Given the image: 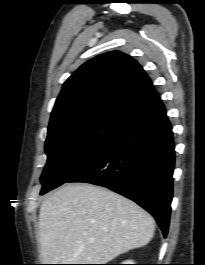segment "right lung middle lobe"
<instances>
[{
    "label": "right lung middle lobe",
    "mask_w": 205,
    "mask_h": 265,
    "mask_svg": "<svg viewBox=\"0 0 205 265\" xmlns=\"http://www.w3.org/2000/svg\"><path fill=\"white\" fill-rule=\"evenodd\" d=\"M123 125L99 122L79 128L48 133L47 163L41 176V194L62 185L96 157Z\"/></svg>",
    "instance_id": "right-lung-middle-lobe-1"
}]
</instances>
